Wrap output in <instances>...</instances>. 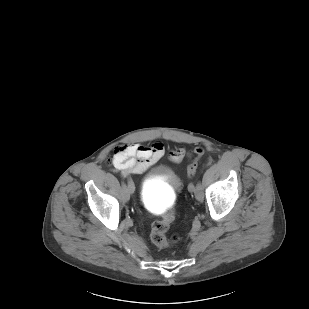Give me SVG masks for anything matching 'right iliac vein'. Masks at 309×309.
<instances>
[{
  "label": "right iliac vein",
  "instance_id": "right-iliac-vein-1",
  "mask_svg": "<svg viewBox=\"0 0 309 309\" xmlns=\"http://www.w3.org/2000/svg\"><path fill=\"white\" fill-rule=\"evenodd\" d=\"M132 193H134V191H133V192H130V191H129V188H128V186H127L126 191H125V193H124V199L128 201L129 198H130V194H132Z\"/></svg>",
  "mask_w": 309,
  "mask_h": 309
}]
</instances>
